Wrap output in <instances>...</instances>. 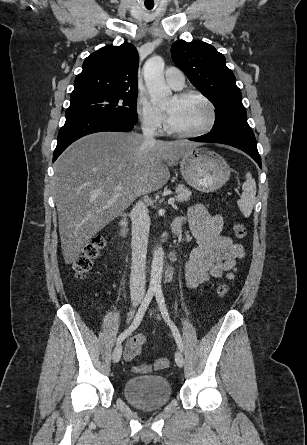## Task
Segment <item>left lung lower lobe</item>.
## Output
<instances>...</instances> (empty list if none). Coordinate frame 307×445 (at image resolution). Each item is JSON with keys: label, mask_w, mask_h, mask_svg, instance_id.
Returning a JSON list of instances; mask_svg holds the SVG:
<instances>
[{"label": "left lung lower lobe", "mask_w": 307, "mask_h": 445, "mask_svg": "<svg viewBox=\"0 0 307 445\" xmlns=\"http://www.w3.org/2000/svg\"><path fill=\"white\" fill-rule=\"evenodd\" d=\"M198 142L221 143L236 147L250 157H252L260 168H262L261 158L257 150L256 139L253 132L242 130H228L216 133H208L196 138L190 139Z\"/></svg>", "instance_id": "obj_1"}]
</instances>
